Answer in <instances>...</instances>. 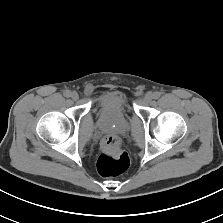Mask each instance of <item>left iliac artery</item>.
Returning <instances> with one entry per match:
<instances>
[{
	"label": "left iliac artery",
	"instance_id": "obj_1",
	"mask_svg": "<svg viewBox=\"0 0 223 223\" xmlns=\"http://www.w3.org/2000/svg\"><path fill=\"white\" fill-rule=\"evenodd\" d=\"M160 96H161V93L158 92V91H156V92L153 93V98L154 99H158Z\"/></svg>",
	"mask_w": 223,
	"mask_h": 223
}]
</instances>
